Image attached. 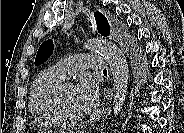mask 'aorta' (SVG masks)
<instances>
[{"label":"aorta","instance_id":"aorta-1","mask_svg":"<svg viewBox=\"0 0 184 133\" xmlns=\"http://www.w3.org/2000/svg\"><path fill=\"white\" fill-rule=\"evenodd\" d=\"M88 50L100 53L109 64L114 81V100L113 114L114 117L121 112L127 93L129 67L123 52L114 44L101 39H90L85 44Z\"/></svg>","mask_w":184,"mask_h":133}]
</instances>
